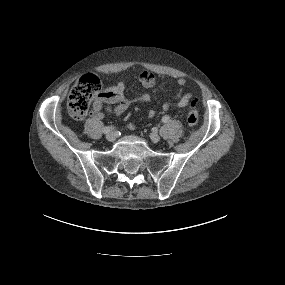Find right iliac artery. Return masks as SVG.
<instances>
[{
	"mask_svg": "<svg viewBox=\"0 0 285 285\" xmlns=\"http://www.w3.org/2000/svg\"><path fill=\"white\" fill-rule=\"evenodd\" d=\"M112 129H113L112 126H106V127H104L103 132H104L105 134H107V133H109Z\"/></svg>",
	"mask_w": 285,
	"mask_h": 285,
	"instance_id": "obj_1",
	"label": "right iliac artery"
}]
</instances>
